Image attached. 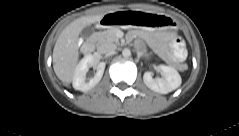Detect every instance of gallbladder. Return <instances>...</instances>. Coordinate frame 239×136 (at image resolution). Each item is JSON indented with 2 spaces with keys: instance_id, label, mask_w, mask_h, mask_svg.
Returning a JSON list of instances; mask_svg holds the SVG:
<instances>
[{
  "instance_id": "1",
  "label": "gallbladder",
  "mask_w": 239,
  "mask_h": 136,
  "mask_svg": "<svg viewBox=\"0 0 239 136\" xmlns=\"http://www.w3.org/2000/svg\"><path fill=\"white\" fill-rule=\"evenodd\" d=\"M81 33H82L83 37L88 38L92 35L93 30L90 26H87L82 30Z\"/></svg>"
}]
</instances>
